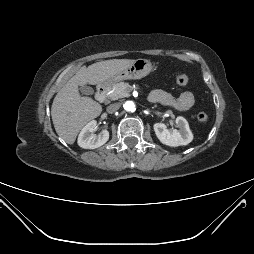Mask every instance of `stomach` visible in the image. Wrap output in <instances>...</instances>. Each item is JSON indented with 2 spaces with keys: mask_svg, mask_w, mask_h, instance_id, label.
<instances>
[{
  "mask_svg": "<svg viewBox=\"0 0 254 254\" xmlns=\"http://www.w3.org/2000/svg\"><path fill=\"white\" fill-rule=\"evenodd\" d=\"M152 70V63L147 59H137L135 62L110 78V81L117 82L120 80L141 79L147 76Z\"/></svg>",
  "mask_w": 254,
  "mask_h": 254,
  "instance_id": "obj_1",
  "label": "stomach"
}]
</instances>
